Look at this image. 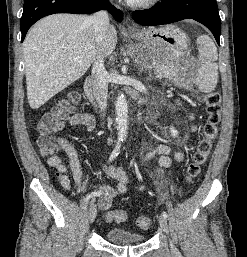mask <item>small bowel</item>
<instances>
[{
  "mask_svg": "<svg viewBox=\"0 0 247 257\" xmlns=\"http://www.w3.org/2000/svg\"><path fill=\"white\" fill-rule=\"evenodd\" d=\"M193 118H194V114L190 116V120H193ZM70 124L85 125L90 131L94 130L95 128L94 118L91 115L86 113H79L74 115L70 120ZM193 128L195 127L193 126ZM58 142H59L60 148L68 157L69 168L74 181L81 189L86 188V185L83 181V173L81 170V164H80L79 156L76 149L69 141H67L64 138H59ZM170 154H171L170 148L165 144H160L147 154L146 159L150 160L153 157L158 156V164L161 167L169 168L172 166V159L170 157ZM174 158L177 161H180L183 158V155L181 152H176L174 153ZM47 164L50 167H53L56 169L57 171L56 175L58 177V180L61 186L64 189L69 190L71 188V179L68 175V169L63 164L61 158L56 155L51 156L47 158ZM106 171L108 175L111 178L116 179L118 183L115 187L108 186V185H97L93 188V191L91 193L98 194L97 195L99 197L98 207L101 210L108 209L113 199H115L120 195L125 194L126 191L128 190V186L130 185V181L123 169L117 168L112 165H108L106 167ZM137 188L139 190H143L144 186L139 185L137 186Z\"/></svg>",
  "mask_w": 247,
  "mask_h": 257,
  "instance_id": "c3829d8e",
  "label": "small bowel"
}]
</instances>
